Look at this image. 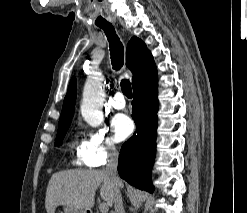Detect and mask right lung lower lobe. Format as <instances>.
<instances>
[{
	"label": "right lung lower lobe",
	"mask_w": 247,
	"mask_h": 213,
	"mask_svg": "<svg viewBox=\"0 0 247 213\" xmlns=\"http://www.w3.org/2000/svg\"><path fill=\"white\" fill-rule=\"evenodd\" d=\"M157 73L133 87L132 118L136 123L134 135L123 144L118 173L129 184L152 191L150 172L154 162L157 136Z\"/></svg>",
	"instance_id": "98d812e1"
}]
</instances>
